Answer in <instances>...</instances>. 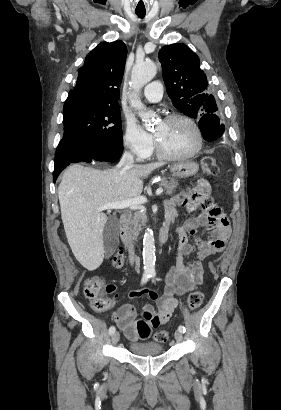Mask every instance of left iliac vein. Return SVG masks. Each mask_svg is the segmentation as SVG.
<instances>
[{"mask_svg":"<svg viewBox=\"0 0 281 410\" xmlns=\"http://www.w3.org/2000/svg\"><path fill=\"white\" fill-rule=\"evenodd\" d=\"M174 336H175L176 341L178 342H181L183 340V334L179 330L175 331Z\"/></svg>","mask_w":281,"mask_h":410,"instance_id":"left-iliac-vein-1","label":"left iliac vein"}]
</instances>
